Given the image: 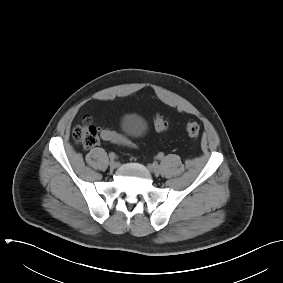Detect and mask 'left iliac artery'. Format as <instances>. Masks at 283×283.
<instances>
[{
    "mask_svg": "<svg viewBox=\"0 0 283 283\" xmlns=\"http://www.w3.org/2000/svg\"><path fill=\"white\" fill-rule=\"evenodd\" d=\"M163 157H164V154H163V153H159V154L157 155V158H158L159 160L163 159Z\"/></svg>",
    "mask_w": 283,
    "mask_h": 283,
    "instance_id": "44dca946",
    "label": "left iliac artery"
}]
</instances>
